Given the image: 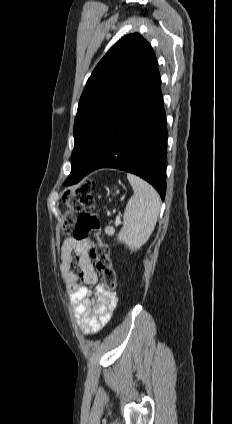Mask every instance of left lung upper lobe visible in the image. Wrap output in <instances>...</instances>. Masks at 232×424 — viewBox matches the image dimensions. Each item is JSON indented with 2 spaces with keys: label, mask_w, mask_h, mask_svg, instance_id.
I'll list each match as a JSON object with an SVG mask.
<instances>
[{
  "label": "left lung upper lobe",
  "mask_w": 232,
  "mask_h": 424,
  "mask_svg": "<svg viewBox=\"0 0 232 424\" xmlns=\"http://www.w3.org/2000/svg\"><path fill=\"white\" fill-rule=\"evenodd\" d=\"M156 66L150 44L138 33L123 37L98 63L79 101L68 178L83 177L101 137Z\"/></svg>",
  "instance_id": "1"
}]
</instances>
